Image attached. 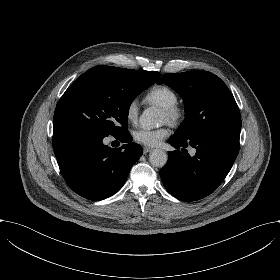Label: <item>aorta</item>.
<instances>
[{"instance_id":"1","label":"aorta","mask_w":280,"mask_h":280,"mask_svg":"<svg viewBox=\"0 0 280 280\" xmlns=\"http://www.w3.org/2000/svg\"><path fill=\"white\" fill-rule=\"evenodd\" d=\"M160 112L157 108H150L140 116V125L145 130L159 126ZM149 162L156 167H163L167 162V153L162 149H154L149 154Z\"/></svg>"}]
</instances>
